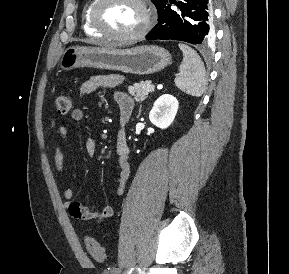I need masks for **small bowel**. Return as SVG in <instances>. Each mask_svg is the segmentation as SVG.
I'll list each match as a JSON object with an SVG mask.
<instances>
[{
    "label": "small bowel",
    "instance_id": "c3829d8e",
    "mask_svg": "<svg viewBox=\"0 0 289 274\" xmlns=\"http://www.w3.org/2000/svg\"><path fill=\"white\" fill-rule=\"evenodd\" d=\"M123 82V78L118 75H98L90 77L80 87L81 95H88L102 88H115ZM115 99L118 104L120 115L123 111L132 113L133 101L123 92L115 93ZM84 118L81 109H74L71 112V119L75 122H80ZM68 134V124L65 123L60 126L58 131V138L56 142L54 163L58 173L64 170V154L62 152V145L65 143ZM85 150L88 156H94L97 151V143L94 138L89 137L85 142ZM116 152L119 156V172L117 173L114 187V194L116 197L122 196L125 189L126 181L130 175L129 165V149L127 145V135L125 129H120L117 135ZM65 199V207L69 210L70 214L79 220L94 221L100 223L105 219L113 216L114 210L111 206L100 207L98 205L86 206L81 202L74 201V193L71 188H67L63 192Z\"/></svg>",
    "mask_w": 289,
    "mask_h": 274
}]
</instances>
